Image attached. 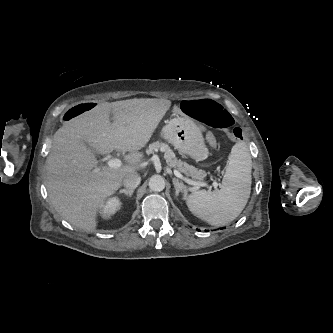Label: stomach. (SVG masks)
I'll return each mask as SVG.
<instances>
[{"label":"stomach","mask_w":333,"mask_h":333,"mask_svg":"<svg viewBox=\"0 0 333 333\" xmlns=\"http://www.w3.org/2000/svg\"><path fill=\"white\" fill-rule=\"evenodd\" d=\"M194 121L179 116L170 119L162 129V137L171 143L180 153L195 161H203L210 156L205 145L202 131L193 126Z\"/></svg>","instance_id":"1"}]
</instances>
